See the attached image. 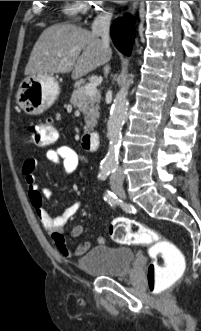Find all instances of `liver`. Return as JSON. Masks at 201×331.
I'll return each instance as SVG.
<instances>
[{"label": "liver", "instance_id": "6515ba94", "mask_svg": "<svg viewBox=\"0 0 201 331\" xmlns=\"http://www.w3.org/2000/svg\"><path fill=\"white\" fill-rule=\"evenodd\" d=\"M110 55L92 32L72 24H55L45 29L35 43L25 75L72 71V78L78 79L104 64Z\"/></svg>", "mask_w": 201, "mask_h": 331}]
</instances>
